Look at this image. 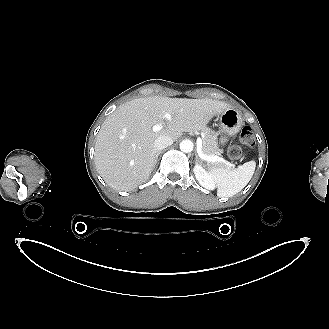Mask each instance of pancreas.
Instances as JSON below:
<instances>
[{
  "mask_svg": "<svg viewBox=\"0 0 329 329\" xmlns=\"http://www.w3.org/2000/svg\"><path fill=\"white\" fill-rule=\"evenodd\" d=\"M203 154L207 156H214L220 154V149L217 145L216 133L208 128L203 130ZM215 165H220V162H215Z\"/></svg>",
  "mask_w": 329,
  "mask_h": 329,
  "instance_id": "cf45deb5",
  "label": "pancreas"
}]
</instances>
